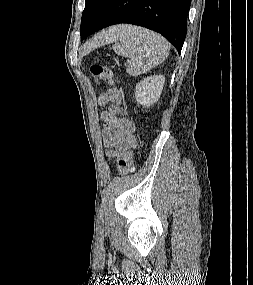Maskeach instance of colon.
Returning <instances> with one entry per match:
<instances>
[{"label": "colon", "instance_id": "obj_1", "mask_svg": "<svg viewBox=\"0 0 253 285\" xmlns=\"http://www.w3.org/2000/svg\"><path fill=\"white\" fill-rule=\"evenodd\" d=\"M90 72L96 82L111 81L114 78L113 71L106 66L94 64L90 67ZM120 112L122 113V110ZM118 170L121 175H127L134 171V157L131 148H127L121 153L118 159Z\"/></svg>", "mask_w": 253, "mask_h": 285}]
</instances>
